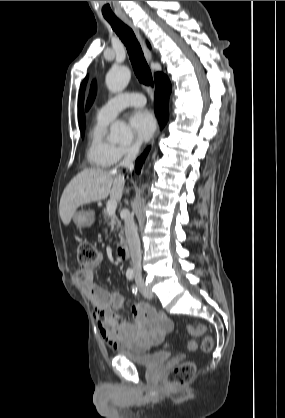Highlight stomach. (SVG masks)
Masks as SVG:
<instances>
[{
    "mask_svg": "<svg viewBox=\"0 0 285 418\" xmlns=\"http://www.w3.org/2000/svg\"><path fill=\"white\" fill-rule=\"evenodd\" d=\"M73 221L79 228L89 227L94 221V216L92 212L82 210L74 214Z\"/></svg>",
    "mask_w": 285,
    "mask_h": 418,
    "instance_id": "1",
    "label": "stomach"
}]
</instances>
